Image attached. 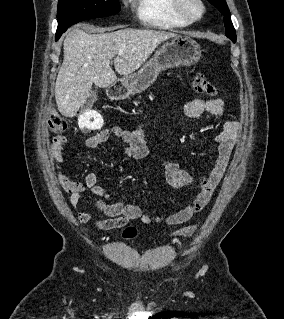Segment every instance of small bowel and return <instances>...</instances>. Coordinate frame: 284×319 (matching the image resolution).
<instances>
[{"instance_id":"c3829d8e","label":"small bowel","mask_w":284,"mask_h":319,"mask_svg":"<svg viewBox=\"0 0 284 319\" xmlns=\"http://www.w3.org/2000/svg\"><path fill=\"white\" fill-rule=\"evenodd\" d=\"M224 109V102L220 99L194 98L184 106L185 113L190 117H197L204 113L220 117ZM239 131L240 125L234 120H228L223 124L213 141L217 150L216 161L211 170L201 174L198 179L181 169L173 160L161 161L165 169L166 180L172 187L193 188L197 191L196 196L181 210L161 216L146 213L140 206L123 200L112 201L106 190L99 185V175L96 172L89 173L83 182L66 176L61 169V164L66 160L63 150L67 140L64 136L58 135L52 140L51 157L55 165L57 180L68 195L70 204L78 209L79 203L87 197L86 192L88 191L92 204L105 216L98 218L90 212L79 210L77 216L82 225L92 224L100 230H110L124 227L129 221L136 219H140L144 224L164 222L168 225H179L189 221L209 202L228 168ZM112 135L121 138L126 143L124 154L127 157L141 160L149 156L150 152L140 126L132 130L119 127L103 129L87 138L85 146L87 149H95L101 143L107 142Z\"/></svg>"}]
</instances>
